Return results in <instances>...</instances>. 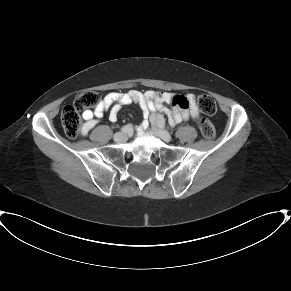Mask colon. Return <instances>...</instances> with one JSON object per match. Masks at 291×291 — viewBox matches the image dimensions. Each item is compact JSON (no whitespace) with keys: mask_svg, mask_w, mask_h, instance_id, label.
I'll use <instances>...</instances> for the list:
<instances>
[{"mask_svg":"<svg viewBox=\"0 0 291 291\" xmlns=\"http://www.w3.org/2000/svg\"><path fill=\"white\" fill-rule=\"evenodd\" d=\"M100 100L101 96L97 91L84 90L77 93L73 103L62 110L61 124L69 138L77 137L82 131L83 125L80 113L97 106ZM197 102L201 110L206 114H214L217 110L216 102L209 94L200 95ZM199 126L204 138L211 139L214 137L215 129L209 120L200 118Z\"/></svg>","mask_w":291,"mask_h":291,"instance_id":"1","label":"colon"}]
</instances>
